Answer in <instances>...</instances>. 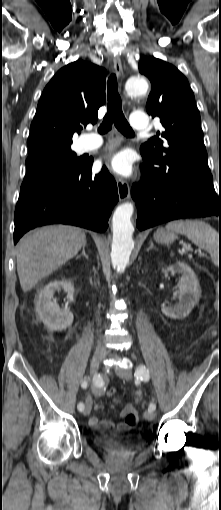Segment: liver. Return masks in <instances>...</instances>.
I'll return each mask as SVG.
<instances>
[{"label": "liver", "mask_w": 221, "mask_h": 510, "mask_svg": "<svg viewBox=\"0 0 221 510\" xmlns=\"http://www.w3.org/2000/svg\"><path fill=\"white\" fill-rule=\"evenodd\" d=\"M86 243L85 232L77 227L51 225L20 239L17 272L24 292L73 258Z\"/></svg>", "instance_id": "1"}]
</instances>
